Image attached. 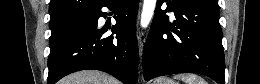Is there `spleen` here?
Returning <instances> with one entry per match:
<instances>
[{
    "instance_id": "1",
    "label": "spleen",
    "mask_w": 260,
    "mask_h": 84,
    "mask_svg": "<svg viewBox=\"0 0 260 84\" xmlns=\"http://www.w3.org/2000/svg\"><path fill=\"white\" fill-rule=\"evenodd\" d=\"M177 79H181L186 84H207V82L199 75L193 73L178 74L175 76Z\"/></svg>"
}]
</instances>
